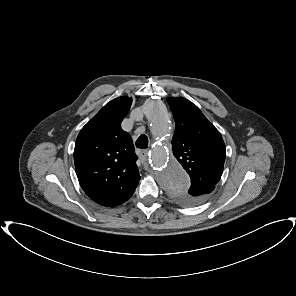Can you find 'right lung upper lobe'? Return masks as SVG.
<instances>
[{"mask_svg":"<svg viewBox=\"0 0 296 296\" xmlns=\"http://www.w3.org/2000/svg\"><path fill=\"white\" fill-rule=\"evenodd\" d=\"M131 103L127 96L108 102L76 139L74 162L79 183L102 206L126 202L140 180L132 138L121 129Z\"/></svg>","mask_w":296,"mask_h":296,"instance_id":"obj_1","label":"right lung upper lobe"}]
</instances>
